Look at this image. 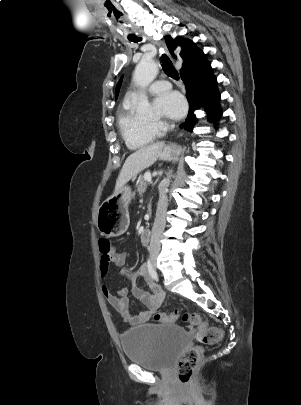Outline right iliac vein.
Segmentation results:
<instances>
[{"mask_svg":"<svg viewBox=\"0 0 301 405\" xmlns=\"http://www.w3.org/2000/svg\"><path fill=\"white\" fill-rule=\"evenodd\" d=\"M151 260H152V263L155 265V263H156V257H155V256H152Z\"/></svg>","mask_w":301,"mask_h":405,"instance_id":"right-iliac-vein-1","label":"right iliac vein"}]
</instances>
